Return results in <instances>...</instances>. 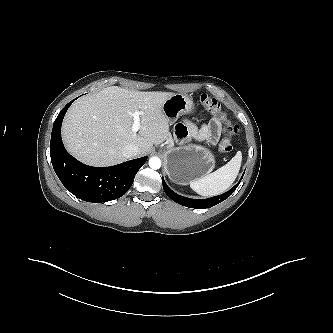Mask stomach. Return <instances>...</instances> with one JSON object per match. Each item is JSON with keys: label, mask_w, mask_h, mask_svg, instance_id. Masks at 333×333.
Segmentation results:
<instances>
[{"label": "stomach", "mask_w": 333, "mask_h": 333, "mask_svg": "<svg viewBox=\"0 0 333 333\" xmlns=\"http://www.w3.org/2000/svg\"><path fill=\"white\" fill-rule=\"evenodd\" d=\"M193 108L191 97L176 93L165 101L162 111L166 118L174 123L181 115L192 112ZM165 162L169 178L180 185L208 175L215 167V158L211 151L196 144L167 150Z\"/></svg>", "instance_id": "obj_1"}]
</instances>
